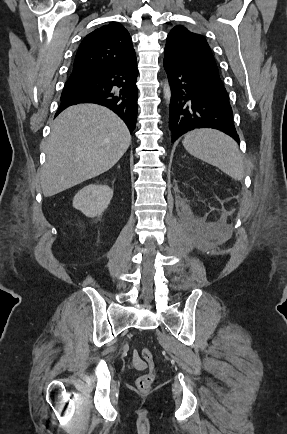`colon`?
I'll list each match as a JSON object with an SVG mask.
<instances>
[{"label":"colon","mask_w":287,"mask_h":434,"mask_svg":"<svg viewBox=\"0 0 287 434\" xmlns=\"http://www.w3.org/2000/svg\"><path fill=\"white\" fill-rule=\"evenodd\" d=\"M139 359H141L148 365L149 370L138 377L136 381V386L140 391L146 392L150 389L151 384L155 378V363L152 352L147 348L141 350Z\"/></svg>","instance_id":"colon-1"}]
</instances>
